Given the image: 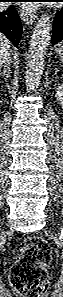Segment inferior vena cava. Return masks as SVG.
<instances>
[{"label":"inferior vena cava","instance_id":"inferior-vena-cava-1","mask_svg":"<svg viewBox=\"0 0 63 297\" xmlns=\"http://www.w3.org/2000/svg\"><path fill=\"white\" fill-rule=\"evenodd\" d=\"M1 65H4V67H7L10 65V60H9V56H6L5 58H3L1 60Z\"/></svg>","mask_w":63,"mask_h":297}]
</instances>
